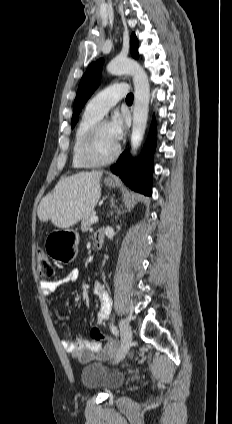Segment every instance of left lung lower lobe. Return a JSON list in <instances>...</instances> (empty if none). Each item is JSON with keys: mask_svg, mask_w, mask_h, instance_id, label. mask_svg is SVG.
<instances>
[{"mask_svg": "<svg viewBox=\"0 0 232 424\" xmlns=\"http://www.w3.org/2000/svg\"><path fill=\"white\" fill-rule=\"evenodd\" d=\"M155 146V124L153 123L139 160L133 161L129 154L124 152L111 169V171L119 175L130 188L147 196H150L152 193V158Z\"/></svg>", "mask_w": 232, "mask_h": 424, "instance_id": "0a47b994", "label": "left lung lower lobe"}]
</instances>
